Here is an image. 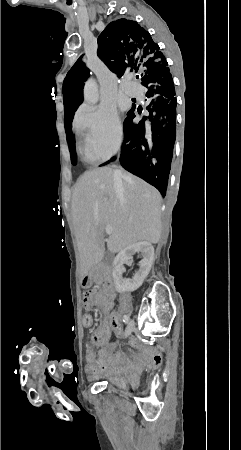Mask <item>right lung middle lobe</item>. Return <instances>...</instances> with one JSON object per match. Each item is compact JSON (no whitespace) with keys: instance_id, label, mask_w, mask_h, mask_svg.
I'll return each mask as SVG.
<instances>
[{"instance_id":"1","label":"right lung middle lobe","mask_w":241,"mask_h":450,"mask_svg":"<svg viewBox=\"0 0 241 450\" xmlns=\"http://www.w3.org/2000/svg\"><path fill=\"white\" fill-rule=\"evenodd\" d=\"M86 79L80 75L68 73L63 82V102L65 115L69 112H74L83 101V87ZM134 110L132 108L127 114ZM68 141L70 140L67 136ZM69 143V142H68ZM71 163L75 165L77 163L75 148L69 146Z\"/></svg>"}]
</instances>
